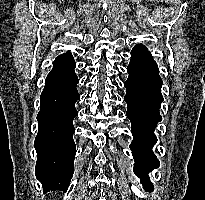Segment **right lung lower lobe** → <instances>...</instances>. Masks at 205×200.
<instances>
[{"label":"right lung lower lobe","mask_w":205,"mask_h":200,"mask_svg":"<svg viewBox=\"0 0 205 200\" xmlns=\"http://www.w3.org/2000/svg\"><path fill=\"white\" fill-rule=\"evenodd\" d=\"M74 68L71 53L58 56L40 97L39 130L34 147L37 152L36 177L45 191H66L74 172L73 119L77 115L75 103L80 97Z\"/></svg>","instance_id":"obj_1"}]
</instances>
